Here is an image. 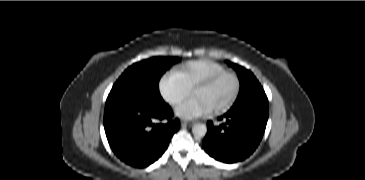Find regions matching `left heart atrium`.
<instances>
[{
    "label": "left heart atrium",
    "mask_w": 365,
    "mask_h": 180,
    "mask_svg": "<svg viewBox=\"0 0 365 180\" xmlns=\"http://www.w3.org/2000/svg\"><path fill=\"white\" fill-rule=\"evenodd\" d=\"M196 111H199V112H205V109L201 106H198V109H196Z\"/></svg>",
    "instance_id": "obj_1"
}]
</instances>
